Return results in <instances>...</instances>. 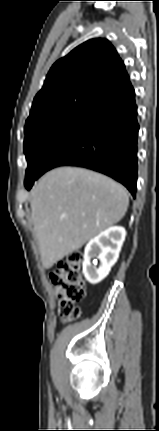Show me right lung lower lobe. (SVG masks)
Wrapping results in <instances>:
<instances>
[{"mask_svg": "<svg viewBox=\"0 0 159 431\" xmlns=\"http://www.w3.org/2000/svg\"><path fill=\"white\" fill-rule=\"evenodd\" d=\"M138 131L133 94L92 114L63 135L46 154L38 175L25 186L30 189L46 171L69 165L110 176L135 198Z\"/></svg>", "mask_w": 159, "mask_h": 431, "instance_id": "right-lung-lower-lobe-1", "label": "right lung lower lobe"}]
</instances>
